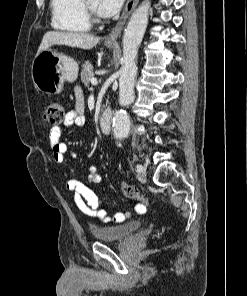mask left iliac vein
Here are the masks:
<instances>
[{
    "mask_svg": "<svg viewBox=\"0 0 247 296\" xmlns=\"http://www.w3.org/2000/svg\"><path fill=\"white\" fill-rule=\"evenodd\" d=\"M138 180L142 183L146 182V169L143 167V170L138 173Z\"/></svg>",
    "mask_w": 247,
    "mask_h": 296,
    "instance_id": "left-iliac-vein-1",
    "label": "left iliac vein"
}]
</instances>
